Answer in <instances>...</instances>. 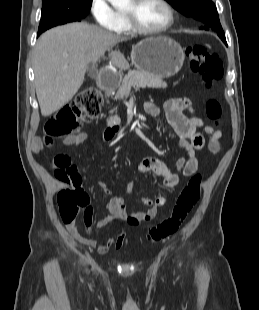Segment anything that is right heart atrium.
<instances>
[{
    "instance_id": "right-heart-atrium-1",
    "label": "right heart atrium",
    "mask_w": 259,
    "mask_h": 310,
    "mask_svg": "<svg viewBox=\"0 0 259 310\" xmlns=\"http://www.w3.org/2000/svg\"><path fill=\"white\" fill-rule=\"evenodd\" d=\"M90 11L99 26L117 31L120 28V16L108 0H91Z\"/></svg>"
}]
</instances>
